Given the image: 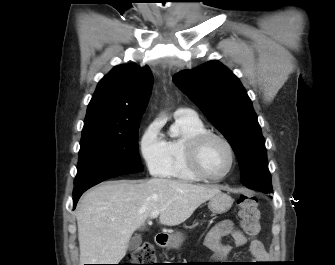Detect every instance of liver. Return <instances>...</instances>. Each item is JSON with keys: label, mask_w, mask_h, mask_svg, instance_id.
Here are the masks:
<instances>
[{"label": "liver", "mask_w": 335, "mask_h": 265, "mask_svg": "<svg viewBox=\"0 0 335 265\" xmlns=\"http://www.w3.org/2000/svg\"><path fill=\"white\" fill-rule=\"evenodd\" d=\"M215 186L152 178L107 181L88 191L77 205L80 265L118 264L134 231L155 210L159 222H185L205 201L220 193Z\"/></svg>", "instance_id": "liver-1"}]
</instances>
